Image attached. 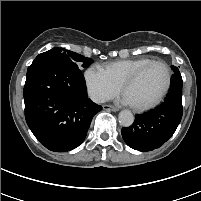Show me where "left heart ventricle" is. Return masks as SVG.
<instances>
[{"mask_svg":"<svg viewBox=\"0 0 201 201\" xmlns=\"http://www.w3.org/2000/svg\"><path fill=\"white\" fill-rule=\"evenodd\" d=\"M166 83V70L161 64L148 67L124 91L131 104H146L154 100Z\"/></svg>","mask_w":201,"mask_h":201,"instance_id":"b2bd125f","label":"left heart ventricle"}]
</instances>
